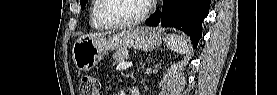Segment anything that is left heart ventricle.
Instances as JSON below:
<instances>
[{
  "label": "left heart ventricle",
  "instance_id": "obj_1",
  "mask_svg": "<svg viewBox=\"0 0 277 95\" xmlns=\"http://www.w3.org/2000/svg\"><path fill=\"white\" fill-rule=\"evenodd\" d=\"M143 0H108L101 12L112 19H131L142 13Z\"/></svg>",
  "mask_w": 277,
  "mask_h": 95
}]
</instances>
